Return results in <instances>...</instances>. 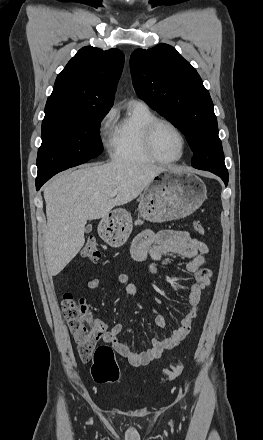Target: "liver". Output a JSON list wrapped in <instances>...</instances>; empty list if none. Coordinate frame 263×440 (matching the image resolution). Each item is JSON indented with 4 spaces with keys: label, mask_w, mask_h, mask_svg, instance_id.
I'll return each instance as SVG.
<instances>
[{
    "label": "liver",
    "mask_w": 263,
    "mask_h": 440,
    "mask_svg": "<svg viewBox=\"0 0 263 440\" xmlns=\"http://www.w3.org/2000/svg\"><path fill=\"white\" fill-rule=\"evenodd\" d=\"M167 169L113 161L83 166L49 181L44 187L47 225L43 237L48 274L58 275L78 254L88 220L104 218L115 206L131 202ZM114 190L118 193L112 199L109 195Z\"/></svg>",
    "instance_id": "obj_1"
}]
</instances>
